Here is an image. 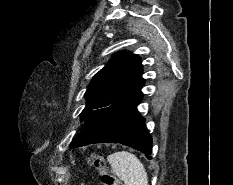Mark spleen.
<instances>
[{"instance_id": "spleen-1", "label": "spleen", "mask_w": 233, "mask_h": 185, "mask_svg": "<svg viewBox=\"0 0 233 185\" xmlns=\"http://www.w3.org/2000/svg\"><path fill=\"white\" fill-rule=\"evenodd\" d=\"M113 173L125 185H148V177L144 165L132 153L126 151L115 152L107 157Z\"/></svg>"}]
</instances>
